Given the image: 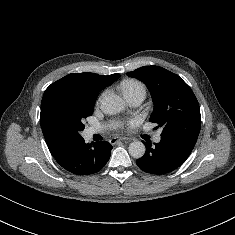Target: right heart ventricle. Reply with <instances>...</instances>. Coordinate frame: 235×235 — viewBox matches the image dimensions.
Listing matches in <instances>:
<instances>
[{"label": "right heart ventricle", "mask_w": 235, "mask_h": 235, "mask_svg": "<svg viewBox=\"0 0 235 235\" xmlns=\"http://www.w3.org/2000/svg\"><path fill=\"white\" fill-rule=\"evenodd\" d=\"M138 88L144 89L143 85L138 81L131 80V81H127L123 84L124 93L131 91V90H134V89H138Z\"/></svg>", "instance_id": "1"}]
</instances>
